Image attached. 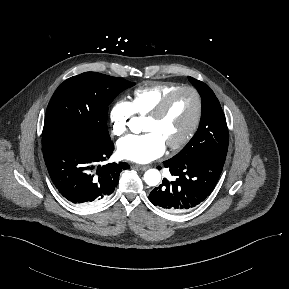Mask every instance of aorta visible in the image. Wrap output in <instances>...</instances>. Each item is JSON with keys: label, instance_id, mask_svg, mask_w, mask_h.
Segmentation results:
<instances>
[{"label": "aorta", "instance_id": "aorta-1", "mask_svg": "<svg viewBox=\"0 0 289 289\" xmlns=\"http://www.w3.org/2000/svg\"><path fill=\"white\" fill-rule=\"evenodd\" d=\"M161 180V174L157 169H149L144 174V181L149 186H156Z\"/></svg>", "mask_w": 289, "mask_h": 289}]
</instances>
